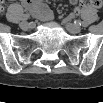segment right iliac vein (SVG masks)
<instances>
[{
    "label": "right iliac vein",
    "instance_id": "obj_1",
    "mask_svg": "<svg viewBox=\"0 0 103 103\" xmlns=\"http://www.w3.org/2000/svg\"><path fill=\"white\" fill-rule=\"evenodd\" d=\"M19 26L21 29L26 30L29 28V23L27 21H22Z\"/></svg>",
    "mask_w": 103,
    "mask_h": 103
}]
</instances>
